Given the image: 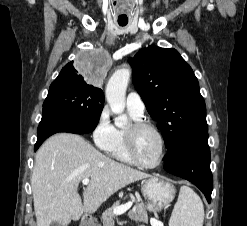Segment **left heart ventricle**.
<instances>
[{"instance_id": "obj_1", "label": "left heart ventricle", "mask_w": 247, "mask_h": 226, "mask_svg": "<svg viewBox=\"0 0 247 226\" xmlns=\"http://www.w3.org/2000/svg\"><path fill=\"white\" fill-rule=\"evenodd\" d=\"M135 149L141 161L155 163L160 156L161 146L157 135L150 129H142L136 133Z\"/></svg>"}]
</instances>
